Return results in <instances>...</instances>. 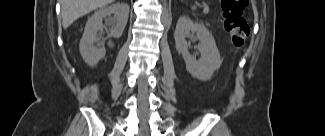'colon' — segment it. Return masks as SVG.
Returning <instances> with one entry per match:
<instances>
[{"label": "colon", "instance_id": "colon-1", "mask_svg": "<svg viewBox=\"0 0 325 136\" xmlns=\"http://www.w3.org/2000/svg\"><path fill=\"white\" fill-rule=\"evenodd\" d=\"M248 0H222L224 27L236 47L244 46L250 36V27L244 17Z\"/></svg>", "mask_w": 325, "mask_h": 136}]
</instances>
